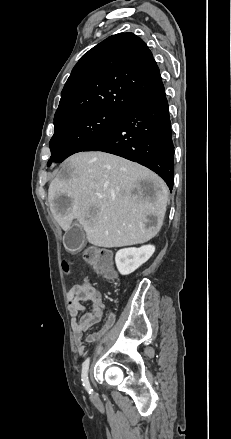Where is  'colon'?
<instances>
[{"mask_svg": "<svg viewBox=\"0 0 231 439\" xmlns=\"http://www.w3.org/2000/svg\"><path fill=\"white\" fill-rule=\"evenodd\" d=\"M83 257L93 267L95 272L103 278L110 280L115 277L111 256L107 250L91 246L84 250ZM64 269L67 272L69 270L66 263L64 264Z\"/></svg>", "mask_w": 231, "mask_h": 439, "instance_id": "colon-1", "label": "colon"}]
</instances>
